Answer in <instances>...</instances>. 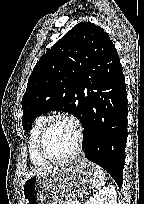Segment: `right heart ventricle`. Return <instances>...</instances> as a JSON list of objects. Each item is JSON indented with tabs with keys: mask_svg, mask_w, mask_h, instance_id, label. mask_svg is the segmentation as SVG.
Segmentation results:
<instances>
[{
	"mask_svg": "<svg viewBox=\"0 0 144 204\" xmlns=\"http://www.w3.org/2000/svg\"><path fill=\"white\" fill-rule=\"evenodd\" d=\"M46 116H40L38 117L35 122L32 125V128L30 130L28 141H27V147H28V153L30 161L34 166L42 167L49 164L48 161L44 160L37 151V137L39 134V131L41 127L43 126L44 122L46 121Z\"/></svg>",
	"mask_w": 144,
	"mask_h": 204,
	"instance_id": "1",
	"label": "right heart ventricle"
}]
</instances>
